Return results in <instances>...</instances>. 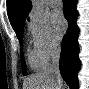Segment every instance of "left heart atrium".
<instances>
[{"instance_id": "obj_1", "label": "left heart atrium", "mask_w": 89, "mask_h": 89, "mask_svg": "<svg viewBox=\"0 0 89 89\" xmlns=\"http://www.w3.org/2000/svg\"><path fill=\"white\" fill-rule=\"evenodd\" d=\"M51 19L54 30L56 34L60 37L67 27V23L63 16V13L60 10L56 9L52 12Z\"/></svg>"}]
</instances>
